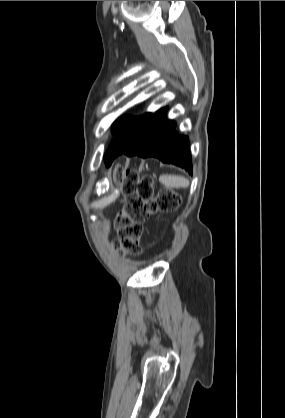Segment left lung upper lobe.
Masks as SVG:
<instances>
[{"instance_id":"5c2ea615","label":"left lung upper lobe","mask_w":285,"mask_h":418,"mask_svg":"<svg viewBox=\"0 0 285 418\" xmlns=\"http://www.w3.org/2000/svg\"><path fill=\"white\" fill-rule=\"evenodd\" d=\"M151 116V113H146L141 117L124 116L114 122L112 131L115 138L104 156L107 164H111L118 155L125 151Z\"/></svg>"}]
</instances>
